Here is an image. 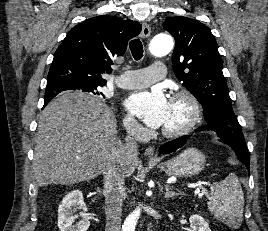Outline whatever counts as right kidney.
I'll list each match as a JSON object with an SVG mask.
<instances>
[{
  "label": "right kidney",
  "mask_w": 268,
  "mask_h": 231,
  "mask_svg": "<svg viewBox=\"0 0 268 231\" xmlns=\"http://www.w3.org/2000/svg\"><path fill=\"white\" fill-rule=\"evenodd\" d=\"M79 216L82 219L74 224ZM87 206L84 203L83 194L80 190H74L68 193L62 200L58 208V227L60 231H87L90 226L89 217L86 214Z\"/></svg>",
  "instance_id": "right-kidney-1"
}]
</instances>
